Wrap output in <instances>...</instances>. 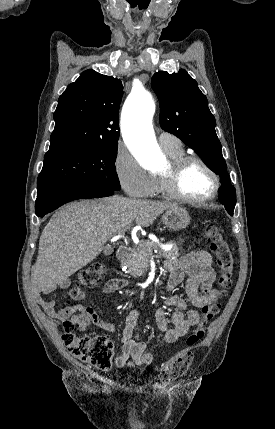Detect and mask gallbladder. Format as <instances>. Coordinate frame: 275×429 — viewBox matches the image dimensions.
Wrapping results in <instances>:
<instances>
[{"mask_svg": "<svg viewBox=\"0 0 275 429\" xmlns=\"http://www.w3.org/2000/svg\"><path fill=\"white\" fill-rule=\"evenodd\" d=\"M112 252H113V248L112 247H106V248H104L103 254L105 256H109V255L112 254Z\"/></svg>", "mask_w": 275, "mask_h": 429, "instance_id": "1", "label": "gallbladder"}]
</instances>
